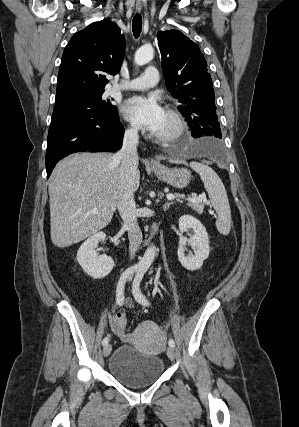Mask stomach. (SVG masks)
<instances>
[{
    "label": "stomach",
    "instance_id": "0dacf381",
    "mask_svg": "<svg viewBox=\"0 0 299 427\" xmlns=\"http://www.w3.org/2000/svg\"><path fill=\"white\" fill-rule=\"evenodd\" d=\"M151 169L160 180L175 188H185L191 180V172L185 168L152 166Z\"/></svg>",
    "mask_w": 299,
    "mask_h": 427
}]
</instances>
